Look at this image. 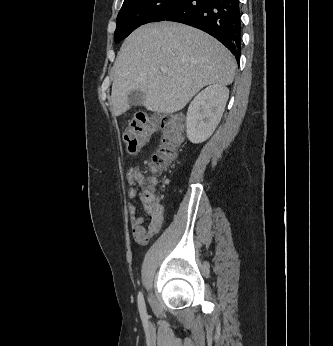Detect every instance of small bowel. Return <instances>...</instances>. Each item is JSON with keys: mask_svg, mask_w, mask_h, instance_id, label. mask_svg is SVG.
I'll return each mask as SVG.
<instances>
[{"mask_svg": "<svg viewBox=\"0 0 333 346\" xmlns=\"http://www.w3.org/2000/svg\"><path fill=\"white\" fill-rule=\"evenodd\" d=\"M126 178L129 184V198L139 201L149 215V224L145 227L144 218L139 215L136 205L133 203L128 204L133 238L137 243L145 245L161 230L164 220L163 206L155 196L145 197L143 192L139 191L138 186L142 187L145 180L139 167H131L126 174Z\"/></svg>", "mask_w": 333, "mask_h": 346, "instance_id": "obj_1", "label": "small bowel"}]
</instances>
